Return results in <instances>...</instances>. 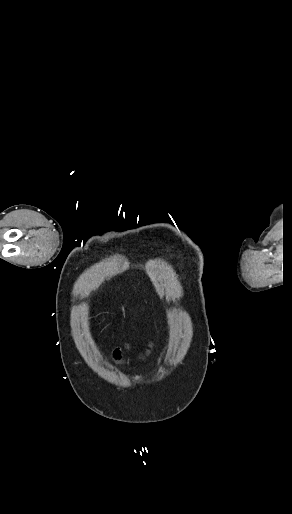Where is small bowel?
<instances>
[{
    "label": "small bowel",
    "instance_id": "small-bowel-1",
    "mask_svg": "<svg viewBox=\"0 0 292 514\" xmlns=\"http://www.w3.org/2000/svg\"><path fill=\"white\" fill-rule=\"evenodd\" d=\"M153 346H154V344L152 342H150L148 344V348L143 352V354H141L140 358L144 359V358L148 357L149 354L151 353ZM122 349L128 351V350H130V346L128 344H123L122 348H117L113 351L112 357H113V360L117 363H121V361H122Z\"/></svg>",
    "mask_w": 292,
    "mask_h": 514
}]
</instances>
